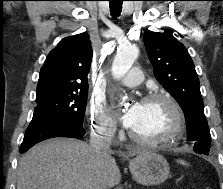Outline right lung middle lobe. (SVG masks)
Wrapping results in <instances>:
<instances>
[{
	"label": "right lung middle lobe",
	"instance_id": "right-lung-middle-lobe-1",
	"mask_svg": "<svg viewBox=\"0 0 223 189\" xmlns=\"http://www.w3.org/2000/svg\"><path fill=\"white\" fill-rule=\"evenodd\" d=\"M88 88L37 92L34 114L58 117L83 126Z\"/></svg>",
	"mask_w": 223,
	"mask_h": 189
}]
</instances>
